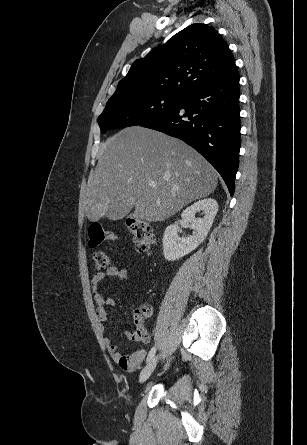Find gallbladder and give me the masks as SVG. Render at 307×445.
<instances>
[{
	"mask_svg": "<svg viewBox=\"0 0 307 445\" xmlns=\"http://www.w3.org/2000/svg\"><path fill=\"white\" fill-rule=\"evenodd\" d=\"M127 201L128 198H124L120 203L114 204V206L111 207V210L107 211L106 218L111 222H119L121 219L127 218L130 211L134 210L135 205V202L129 204Z\"/></svg>",
	"mask_w": 307,
	"mask_h": 445,
	"instance_id": "bac80fb5",
	"label": "gallbladder"
}]
</instances>
